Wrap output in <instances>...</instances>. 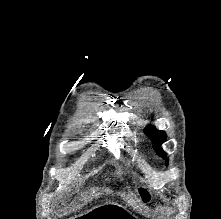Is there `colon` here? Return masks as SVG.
Returning a JSON list of instances; mask_svg holds the SVG:
<instances>
[{
	"label": "colon",
	"mask_w": 221,
	"mask_h": 219,
	"mask_svg": "<svg viewBox=\"0 0 221 219\" xmlns=\"http://www.w3.org/2000/svg\"><path fill=\"white\" fill-rule=\"evenodd\" d=\"M142 195H143L144 197H146V194H145V193H142Z\"/></svg>",
	"instance_id": "5ec220e1"
}]
</instances>
